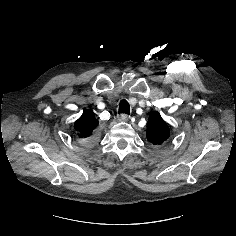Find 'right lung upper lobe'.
<instances>
[{
	"label": "right lung upper lobe",
	"mask_w": 236,
	"mask_h": 236,
	"mask_svg": "<svg viewBox=\"0 0 236 236\" xmlns=\"http://www.w3.org/2000/svg\"><path fill=\"white\" fill-rule=\"evenodd\" d=\"M98 125L94 114L90 110H85L82 116L75 122L74 128L80 138H86L91 135L92 131Z\"/></svg>",
	"instance_id": "cb5924a9"
}]
</instances>
